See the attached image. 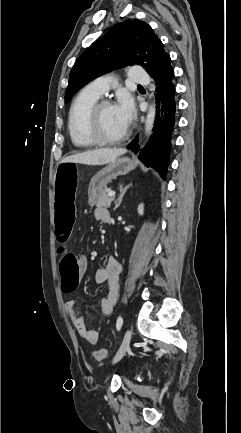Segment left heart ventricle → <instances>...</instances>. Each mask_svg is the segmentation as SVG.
Here are the masks:
<instances>
[{
	"label": "left heart ventricle",
	"instance_id": "obj_1",
	"mask_svg": "<svg viewBox=\"0 0 241 433\" xmlns=\"http://www.w3.org/2000/svg\"><path fill=\"white\" fill-rule=\"evenodd\" d=\"M100 124L103 134L110 138L120 136L127 128L118 115L114 105L107 106L102 110Z\"/></svg>",
	"mask_w": 241,
	"mask_h": 433
}]
</instances>
